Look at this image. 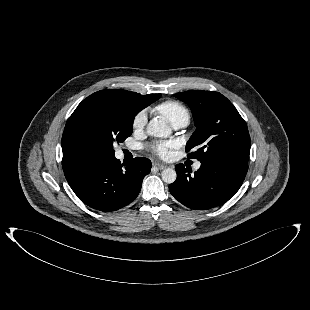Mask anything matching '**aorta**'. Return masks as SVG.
I'll use <instances>...</instances> for the list:
<instances>
[{
  "instance_id": "obj_1",
  "label": "aorta",
  "mask_w": 310,
  "mask_h": 310,
  "mask_svg": "<svg viewBox=\"0 0 310 310\" xmlns=\"http://www.w3.org/2000/svg\"><path fill=\"white\" fill-rule=\"evenodd\" d=\"M147 133L153 137L166 138L170 136L171 129L162 118H153L147 125ZM162 180L165 183L171 184L175 182L177 174L172 168H166L161 173Z\"/></svg>"
}]
</instances>
